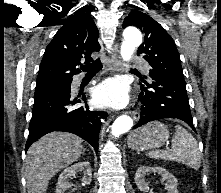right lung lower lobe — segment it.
<instances>
[{"label":"right lung lower lobe","mask_w":221,"mask_h":193,"mask_svg":"<svg viewBox=\"0 0 221 193\" xmlns=\"http://www.w3.org/2000/svg\"><path fill=\"white\" fill-rule=\"evenodd\" d=\"M86 101L82 98H73L69 90L49 91L34 96L32 118L29 125V136L25 151L40 137L52 131L74 133L98 152V137L101 128V119H106L104 111L90 110L88 106L72 108L73 105Z\"/></svg>","instance_id":"right-lung-lower-lobe-1"}]
</instances>
